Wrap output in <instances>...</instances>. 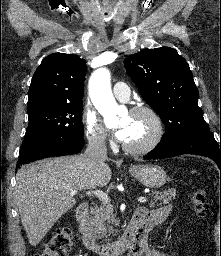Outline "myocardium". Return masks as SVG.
<instances>
[{"instance_id":"obj_1","label":"myocardium","mask_w":221,"mask_h":256,"mask_svg":"<svg viewBox=\"0 0 221 256\" xmlns=\"http://www.w3.org/2000/svg\"><path fill=\"white\" fill-rule=\"evenodd\" d=\"M129 114L130 115H137V114L147 115L153 123L154 130H153L152 136L143 144L130 145L127 143H123L122 146L124 150L132 154H144V153L150 152L151 150H153L159 145L165 133L164 122L161 116L154 108L147 105L135 106L130 110Z\"/></svg>"}]
</instances>
